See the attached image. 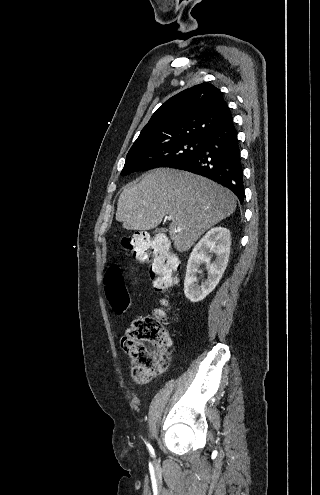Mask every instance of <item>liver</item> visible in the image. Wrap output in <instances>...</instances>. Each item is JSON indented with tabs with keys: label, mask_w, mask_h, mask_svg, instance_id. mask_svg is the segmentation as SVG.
<instances>
[{
	"label": "liver",
	"mask_w": 320,
	"mask_h": 495,
	"mask_svg": "<svg viewBox=\"0 0 320 495\" xmlns=\"http://www.w3.org/2000/svg\"><path fill=\"white\" fill-rule=\"evenodd\" d=\"M235 209L236 196L225 187L188 172L160 168L123 188L116 220L126 230L143 231L171 215L169 234L181 252Z\"/></svg>",
	"instance_id": "6515ba94"
}]
</instances>
